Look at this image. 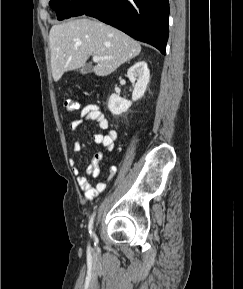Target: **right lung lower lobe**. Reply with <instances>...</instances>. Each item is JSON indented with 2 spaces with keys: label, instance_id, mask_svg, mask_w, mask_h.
Returning <instances> with one entry per match:
<instances>
[{
  "label": "right lung lower lobe",
  "instance_id": "obj_1",
  "mask_svg": "<svg viewBox=\"0 0 243 289\" xmlns=\"http://www.w3.org/2000/svg\"><path fill=\"white\" fill-rule=\"evenodd\" d=\"M87 15L165 53L168 40V0H87L71 17Z\"/></svg>",
  "mask_w": 243,
  "mask_h": 289
}]
</instances>
